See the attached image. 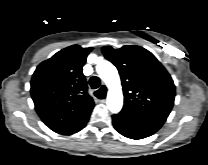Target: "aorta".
I'll list each match as a JSON object with an SVG mask.
<instances>
[{
	"label": "aorta",
	"mask_w": 208,
	"mask_h": 165,
	"mask_svg": "<svg viewBox=\"0 0 208 165\" xmlns=\"http://www.w3.org/2000/svg\"><path fill=\"white\" fill-rule=\"evenodd\" d=\"M96 71L108 87L107 107L112 113H118L123 106V94L120 77L116 67L109 61H100Z\"/></svg>",
	"instance_id": "aorta-1"
}]
</instances>
